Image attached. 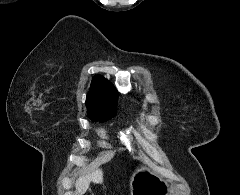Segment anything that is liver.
Returning a JSON list of instances; mask_svg holds the SVG:
<instances>
[{
  "label": "liver",
  "instance_id": "1",
  "mask_svg": "<svg viewBox=\"0 0 240 195\" xmlns=\"http://www.w3.org/2000/svg\"><path fill=\"white\" fill-rule=\"evenodd\" d=\"M90 181H93V183H102L103 171L100 167H98V169H94V171H91L88 175H80V177L76 179V193H79V195L85 193L86 189L89 187Z\"/></svg>",
  "mask_w": 240,
  "mask_h": 195
}]
</instances>
